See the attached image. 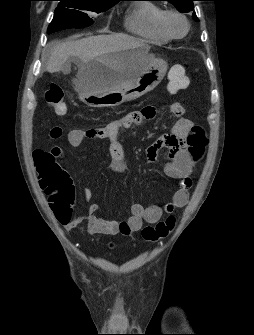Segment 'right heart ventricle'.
Here are the masks:
<instances>
[{
	"mask_svg": "<svg viewBox=\"0 0 254 335\" xmlns=\"http://www.w3.org/2000/svg\"><path fill=\"white\" fill-rule=\"evenodd\" d=\"M163 9L151 2H142L131 5L124 18V26L127 31L139 38L156 44H164L169 41L158 27V19Z\"/></svg>",
	"mask_w": 254,
	"mask_h": 335,
	"instance_id": "1",
	"label": "right heart ventricle"
}]
</instances>
